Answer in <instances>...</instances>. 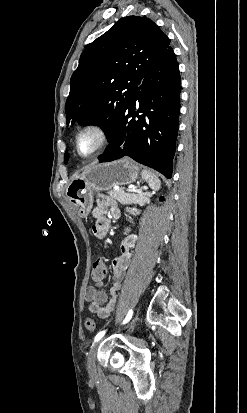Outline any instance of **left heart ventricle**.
<instances>
[{"label": "left heart ventricle", "mask_w": 247, "mask_h": 413, "mask_svg": "<svg viewBox=\"0 0 247 413\" xmlns=\"http://www.w3.org/2000/svg\"><path fill=\"white\" fill-rule=\"evenodd\" d=\"M99 135L95 132H87L80 139V147L84 154H89L99 143Z\"/></svg>", "instance_id": "obj_1"}]
</instances>
